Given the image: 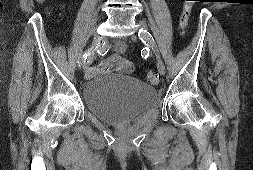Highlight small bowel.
<instances>
[{
  "instance_id": "small-bowel-1",
  "label": "small bowel",
  "mask_w": 253,
  "mask_h": 170,
  "mask_svg": "<svg viewBox=\"0 0 253 170\" xmlns=\"http://www.w3.org/2000/svg\"><path fill=\"white\" fill-rule=\"evenodd\" d=\"M113 57H121V56H113ZM121 58H123V57H121ZM123 59L126 60L128 63L132 64L127 59H125V58H123ZM116 66H117V68H121V63H117ZM89 72H90V75L92 76L93 74H95L96 69H91V70H89Z\"/></svg>"
}]
</instances>
